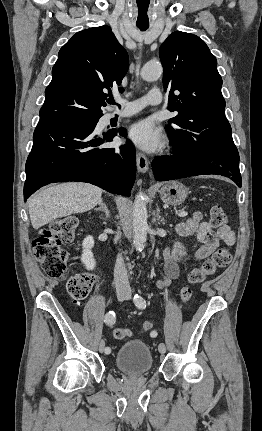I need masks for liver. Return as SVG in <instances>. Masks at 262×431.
Masks as SVG:
<instances>
[{
    "instance_id": "obj_1",
    "label": "liver",
    "mask_w": 262,
    "mask_h": 431,
    "mask_svg": "<svg viewBox=\"0 0 262 431\" xmlns=\"http://www.w3.org/2000/svg\"><path fill=\"white\" fill-rule=\"evenodd\" d=\"M102 189L87 183H63L48 187L29 199V215L34 229L52 220L83 213L99 204Z\"/></svg>"
}]
</instances>
